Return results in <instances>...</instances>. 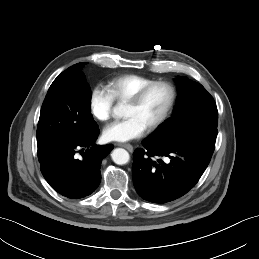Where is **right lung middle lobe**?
I'll use <instances>...</instances> for the list:
<instances>
[{
    "instance_id": "right-lung-middle-lobe-1",
    "label": "right lung middle lobe",
    "mask_w": 259,
    "mask_h": 259,
    "mask_svg": "<svg viewBox=\"0 0 259 259\" xmlns=\"http://www.w3.org/2000/svg\"><path fill=\"white\" fill-rule=\"evenodd\" d=\"M84 65H73L68 75L57 77L51 84L37 127L38 152L70 143L97 126L90 113L92 93L82 72Z\"/></svg>"
}]
</instances>
